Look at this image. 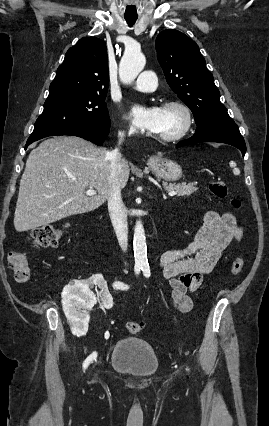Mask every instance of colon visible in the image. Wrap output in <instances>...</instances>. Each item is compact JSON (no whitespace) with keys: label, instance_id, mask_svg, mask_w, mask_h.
Masks as SVG:
<instances>
[{"label":"colon","instance_id":"obj_1","mask_svg":"<svg viewBox=\"0 0 269 426\" xmlns=\"http://www.w3.org/2000/svg\"><path fill=\"white\" fill-rule=\"evenodd\" d=\"M210 193L217 198H226L228 190L225 183L221 181H212L208 185ZM230 204L233 208L239 209L241 202L238 199H231ZM64 228L43 225L32 231L30 234V240L35 247L48 248L57 245L61 237L63 236ZM7 263L10 269L13 271L14 278L18 282H26L31 276V266L27 257L18 252H10L7 256ZM244 266V259L237 257L231 265V272L234 275L239 274ZM126 329L131 334H137L142 329V324L138 322H128Z\"/></svg>","mask_w":269,"mask_h":426}]
</instances>
